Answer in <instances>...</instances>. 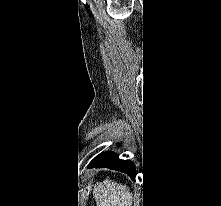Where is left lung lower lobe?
<instances>
[{"label":"left lung lower lobe","mask_w":221,"mask_h":206,"mask_svg":"<svg viewBox=\"0 0 221 206\" xmlns=\"http://www.w3.org/2000/svg\"><path fill=\"white\" fill-rule=\"evenodd\" d=\"M88 167H107L109 169L122 171L135 179V166L130 160L118 159V156L112 152H103L97 155Z\"/></svg>","instance_id":"0a47b994"}]
</instances>
